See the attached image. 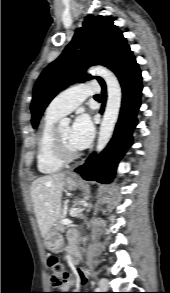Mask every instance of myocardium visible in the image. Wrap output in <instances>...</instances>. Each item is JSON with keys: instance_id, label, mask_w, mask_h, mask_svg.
<instances>
[{"instance_id": "myocardium-1", "label": "myocardium", "mask_w": 170, "mask_h": 293, "mask_svg": "<svg viewBox=\"0 0 170 293\" xmlns=\"http://www.w3.org/2000/svg\"><path fill=\"white\" fill-rule=\"evenodd\" d=\"M51 149L53 155L62 162H70L79 156V152L77 150L71 152L65 150L63 144L60 141L57 128H54L52 132Z\"/></svg>"}]
</instances>
